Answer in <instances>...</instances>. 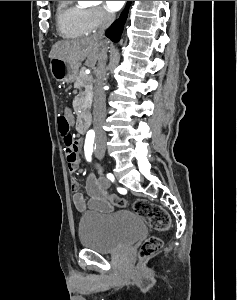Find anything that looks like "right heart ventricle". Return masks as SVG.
<instances>
[{
  "instance_id": "1",
  "label": "right heart ventricle",
  "mask_w": 237,
  "mask_h": 300,
  "mask_svg": "<svg viewBox=\"0 0 237 300\" xmlns=\"http://www.w3.org/2000/svg\"><path fill=\"white\" fill-rule=\"evenodd\" d=\"M56 23L63 36L71 37L83 34V9L73 1H58Z\"/></svg>"
}]
</instances>
